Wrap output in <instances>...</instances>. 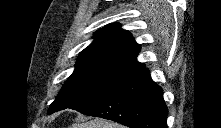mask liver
Wrapping results in <instances>:
<instances>
[{"mask_svg": "<svg viewBox=\"0 0 221 128\" xmlns=\"http://www.w3.org/2000/svg\"><path fill=\"white\" fill-rule=\"evenodd\" d=\"M70 128H124L122 125L107 121L105 119L95 118L83 123H73Z\"/></svg>", "mask_w": 221, "mask_h": 128, "instance_id": "liver-1", "label": "liver"}]
</instances>
